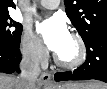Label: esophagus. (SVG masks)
<instances>
[{"label":"esophagus","instance_id":"esophagus-1","mask_svg":"<svg viewBox=\"0 0 107 89\" xmlns=\"http://www.w3.org/2000/svg\"><path fill=\"white\" fill-rule=\"evenodd\" d=\"M41 83L43 85H52L53 84L52 75L48 72H43L41 74Z\"/></svg>","mask_w":107,"mask_h":89}]
</instances>
